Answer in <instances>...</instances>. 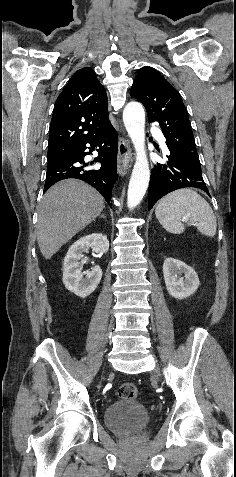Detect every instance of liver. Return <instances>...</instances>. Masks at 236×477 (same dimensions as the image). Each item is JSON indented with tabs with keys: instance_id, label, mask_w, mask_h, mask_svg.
Returning <instances> with one entry per match:
<instances>
[{
	"instance_id": "obj_1",
	"label": "liver",
	"mask_w": 236,
	"mask_h": 477,
	"mask_svg": "<svg viewBox=\"0 0 236 477\" xmlns=\"http://www.w3.org/2000/svg\"><path fill=\"white\" fill-rule=\"evenodd\" d=\"M104 207L101 194L82 181L67 179L49 188L38 206L37 242L44 258L50 259Z\"/></svg>"
}]
</instances>
